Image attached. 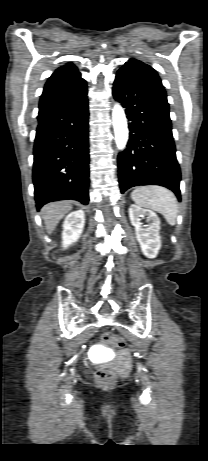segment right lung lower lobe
Masks as SVG:
<instances>
[{
  "label": "right lung lower lobe",
  "instance_id": "98d812e1",
  "mask_svg": "<svg viewBox=\"0 0 208 461\" xmlns=\"http://www.w3.org/2000/svg\"><path fill=\"white\" fill-rule=\"evenodd\" d=\"M34 143L36 206L74 199L89 202L88 98L40 112Z\"/></svg>",
  "mask_w": 208,
  "mask_h": 461
}]
</instances>
